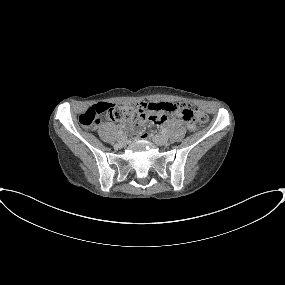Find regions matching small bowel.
Returning a JSON list of instances; mask_svg holds the SVG:
<instances>
[{
	"mask_svg": "<svg viewBox=\"0 0 285 285\" xmlns=\"http://www.w3.org/2000/svg\"><path fill=\"white\" fill-rule=\"evenodd\" d=\"M172 104L173 103L169 101H150L146 103V105L151 106L152 112L148 115H142L132 126L138 130H142L145 121L156 125L167 123L169 115L171 114L169 107L172 106ZM176 122L180 125L186 126L189 130L195 129V125L192 121H185L178 118L176 119ZM122 126L126 127V125Z\"/></svg>",
	"mask_w": 285,
	"mask_h": 285,
	"instance_id": "small-bowel-1",
	"label": "small bowel"
}]
</instances>
